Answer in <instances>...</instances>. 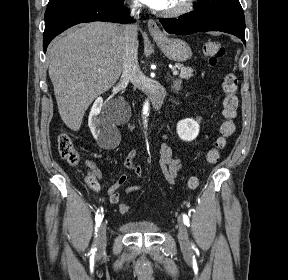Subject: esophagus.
Listing matches in <instances>:
<instances>
[{
	"instance_id": "esophagus-1",
	"label": "esophagus",
	"mask_w": 288,
	"mask_h": 280,
	"mask_svg": "<svg viewBox=\"0 0 288 280\" xmlns=\"http://www.w3.org/2000/svg\"><path fill=\"white\" fill-rule=\"evenodd\" d=\"M147 26H148L149 33L153 38L163 37V32L161 31L160 27L158 26L155 20L149 19Z\"/></svg>"
}]
</instances>
